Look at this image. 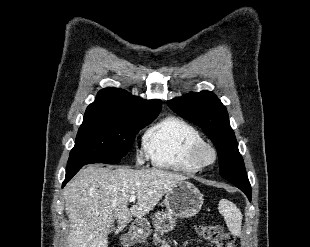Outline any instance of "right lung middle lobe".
I'll return each mask as SVG.
<instances>
[{
    "label": "right lung middle lobe",
    "mask_w": 310,
    "mask_h": 247,
    "mask_svg": "<svg viewBox=\"0 0 310 247\" xmlns=\"http://www.w3.org/2000/svg\"><path fill=\"white\" fill-rule=\"evenodd\" d=\"M157 116L133 119L110 115L84 116L67 169L92 163L117 164L130 150L138 131Z\"/></svg>",
    "instance_id": "right-lung-middle-lobe-1"
}]
</instances>
